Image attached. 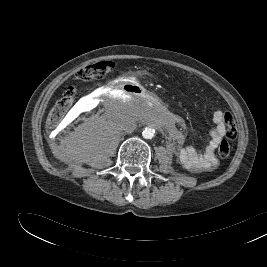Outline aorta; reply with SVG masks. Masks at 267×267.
<instances>
[{"instance_id": "obj_1", "label": "aorta", "mask_w": 267, "mask_h": 267, "mask_svg": "<svg viewBox=\"0 0 267 267\" xmlns=\"http://www.w3.org/2000/svg\"><path fill=\"white\" fill-rule=\"evenodd\" d=\"M142 134L145 139H152L155 135V130L148 127L143 130Z\"/></svg>"}]
</instances>
